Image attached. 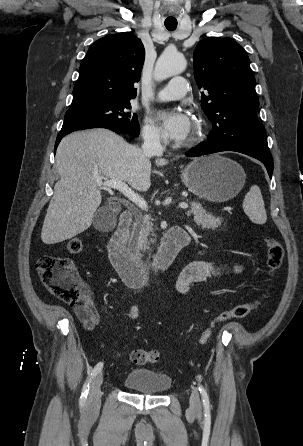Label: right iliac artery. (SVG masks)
<instances>
[{
	"label": "right iliac artery",
	"mask_w": 303,
	"mask_h": 446,
	"mask_svg": "<svg viewBox=\"0 0 303 446\" xmlns=\"http://www.w3.org/2000/svg\"><path fill=\"white\" fill-rule=\"evenodd\" d=\"M102 368H103V363L99 362L94 367V369L91 371V373L89 374V376H88V378H87V380H86V382H85V384L83 386L82 393H81V396H80V403L81 404H84L86 402L88 391H89V385H90L92 379L101 371Z\"/></svg>",
	"instance_id": "obj_1"
}]
</instances>
